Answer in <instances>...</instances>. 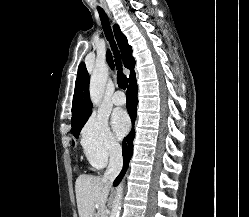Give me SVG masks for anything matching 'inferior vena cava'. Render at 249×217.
<instances>
[{"mask_svg": "<svg viewBox=\"0 0 249 217\" xmlns=\"http://www.w3.org/2000/svg\"><path fill=\"white\" fill-rule=\"evenodd\" d=\"M109 151V165L104 173L103 180L107 181L111 185L122 169L123 160L122 149L117 142H112L110 144Z\"/></svg>", "mask_w": 249, "mask_h": 217, "instance_id": "602c4592", "label": "inferior vena cava"}]
</instances>
